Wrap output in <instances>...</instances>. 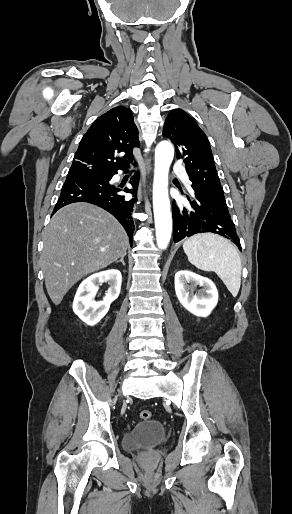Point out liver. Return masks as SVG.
<instances>
[{
  "label": "liver",
  "mask_w": 292,
  "mask_h": 514,
  "mask_svg": "<svg viewBox=\"0 0 292 514\" xmlns=\"http://www.w3.org/2000/svg\"><path fill=\"white\" fill-rule=\"evenodd\" d=\"M42 236V272L55 306L78 280L126 256L129 244L123 226L111 214L85 202L58 210Z\"/></svg>",
  "instance_id": "liver-1"
}]
</instances>
